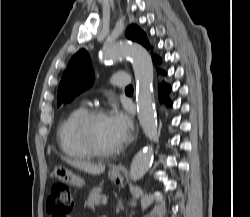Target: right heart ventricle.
<instances>
[{"mask_svg": "<svg viewBox=\"0 0 250 217\" xmlns=\"http://www.w3.org/2000/svg\"><path fill=\"white\" fill-rule=\"evenodd\" d=\"M86 112L85 106H76L68 112L58 126L57 141L59 148L65 155L73 159H87L92 156L77 135V123Z\"/></svg>", "mask_w": 250, "mask_h": 217, "instance_id": "1", "label": "right heart ventricle"}]
</instances>
